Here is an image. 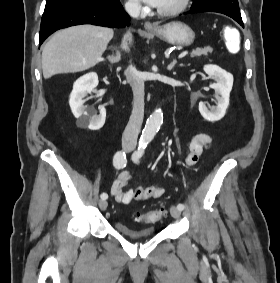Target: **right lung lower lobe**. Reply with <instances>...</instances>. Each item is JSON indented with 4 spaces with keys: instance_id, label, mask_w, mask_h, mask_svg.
I'll return each instance as SVG.
<instances>
[{
    "instance_id": "right-lung-lower-lobe-1",
    "label": "right lung lower lobe",
    "mask_w": 280,
    "mask_h": 283,
    "mask_svg": "<svg viewBox=\"0 0 280 283\" xmlns=\"http://www.w3.org/2000/svg\"><path fill=\"white\" fill-rule=\"evenodd\" d=\"M130 17L124 11L119 0H112L105 5H62L44 10L39 44L56 30L81 24H92L106 27H124Z\"/></svg>"
}]
</instances>
